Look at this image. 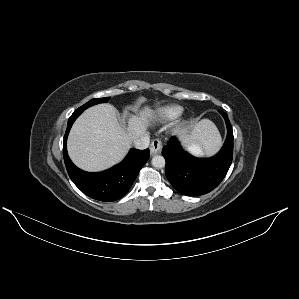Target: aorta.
Instances as JSON below:
<instances>
[{"mask_svg": "<svg viewBox=\"0 0 299 299\" xmlns=\"http://www.w3.org/2000/svg\"><path fill=\"white\" fill-rule=\"evenodd\" d=\"M151 164L156 168H163L165 166V159L161 155H156L152 158Z\"/></svg>", "mask_w": 299, "mask_h": 299, "instance_id": "obj_1", "label": "aorta"}]
</instances>
